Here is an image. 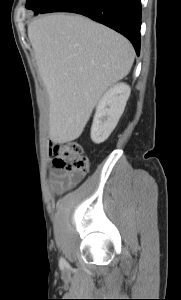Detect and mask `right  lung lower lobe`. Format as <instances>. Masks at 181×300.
Returning <instances> with one entry per match:
<instances>
[{
  "label": "right lung lower lobe",
  "instance_id": "obj_1",
  "mask_svg": "<svg viewBox=\"0 0 181 300\" xmlns=\"http://www.w3.org/2000/svg\"><path fill=\"white\" fill-rule=\"evenodd\" d=\"M73 12L127 37L140 53L141 0H56L40 13Z\"/></svg>",
  "mask_w": 181,
  "mask_h": 300
}]
</instances>
